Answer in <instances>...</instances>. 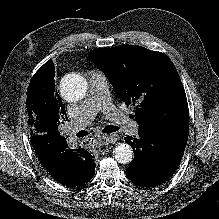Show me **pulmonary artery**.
I'll return each instance as SVG.
<instances>
[{
  "mask_svg": "<svg viewBox=\"0 0 219 219\" xmlns=\"http://www.w3.org/2000/svg\"><path fill=\"white\" fill-rule=\"evenodd\" d=\"M89 95L82 103L73 118V127L78 130L89 124L98 111H102L112 123L124 132L137 134L139 126L119 111L111 102L108 90V80L104 73L98 70L89 72Z\"/></svg>",
  "mask_w": 219,
  "mask_h": 219,
  "instance_id": "1",
  "label": "pulmonary artery"
}]
</instances>
